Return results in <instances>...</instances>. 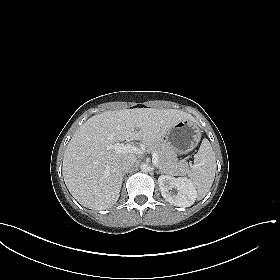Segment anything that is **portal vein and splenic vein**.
I'll return each mask as SVG.
<instances>
[{"label": "portal vein and splenic vein", "instance_id": "1", "mask_svg": "<svg viewBox=\"0 0 280 280\" xmlns=\"http://www.w3.org/2000/svg\"><path fill=\"white\" fill-rule=\"evenodd\" d=\"M108 149H112L116 151L117 153H136V154H141L143 151L131 144H120V143H115V144H109L106 146ZM152 162L155 166L158 167V154L157 152L152 153Z\"/></svg>", "mask_w": 280, "mask_h": 280}]
</instances>
